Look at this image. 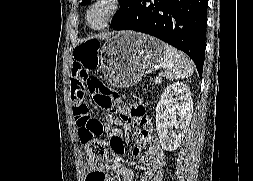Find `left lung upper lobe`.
Masks as SVG:
<instances>
[{"instance_id":"left-lung-upper-lobe-1","label":"left lung upper lobe","mask_w":253,"mask_h":181,"mask_svg":"<svg viewBox=\"0 0 253 181\" xmlns=\"http://www.w3.org/2000/svg\"><path fill=\"white\" fill-rule=\"evenodd\" d=\"M89 2L90 0H82L83 5H86ZM134 2L135 0H120V9L114 15L111 22V27L116 26L125 18V16L131 11Z\"/></svg>"}]
</instances>
